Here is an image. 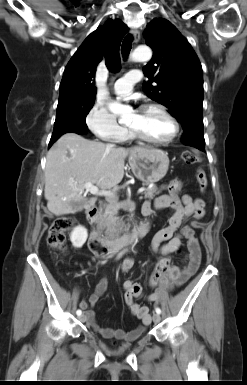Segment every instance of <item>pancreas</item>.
I'll list each match as a JSON object with an SVG mask.
<instances>
[{"mask_svg": "<svg viewBox=\"0 0 247 385\" xmlns=\"http://www.w3.org/2000/svg\"><path fill=\"white\" fill-rule=\"evenodd\" d=\"M157 194H158V188L156 186H153L144 190L145 198L153 199ZM117 224H118V218L113 216V214L109 210V207H106L104 212L100 215V225L106 228V234H110L111 230L113 233H116Z\"/></svg>", "mask_w": 247, "mask_h": 385, "instance_id": "obj_1", "label": "pancreas"}]
</instances>
